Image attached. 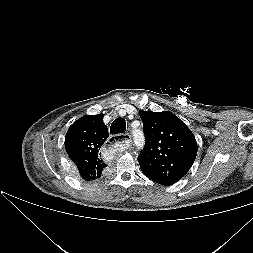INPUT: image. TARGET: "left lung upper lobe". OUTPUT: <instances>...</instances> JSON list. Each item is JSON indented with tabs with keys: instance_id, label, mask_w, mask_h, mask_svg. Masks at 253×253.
<instances>
[{
	"instance_id": "5c2ea615",
	"label": "left lung upper lobe",
	"mask_w": 253,
	"mask_h": 253,
	"mask_svg": "<svg viewBox=\"0 0 253 253\" xmlns=\"http://www.w3.org/2000/svg\"><path fill=\"white\" fill-rule=\"evenodd\" d=\"M146 144L138 162L145 176L161 185H172L191 168L197 155L195 136L169 111H140Z\"/></svg>"
}]
</instances>
